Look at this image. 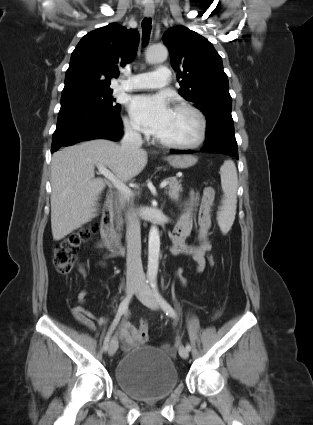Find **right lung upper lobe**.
<instances>
[{
    "label": "right lung upper lobe",
    "mask_w": 313,
    "mask_h": 425,
    "mask_svg": "<svg viewBox=\"0 0 313 425\" xmlns=\"http://www.w3.org/2000/svg\"><path fill=\"white\" fill-rule=\"evenodd\" d=\"M139 33L117 23L86 34L72 52L62 91L109 88L110 79L119 74L118 66L134 60Z\"/></svg>",
    "instance_id": "obj_1"
}]
</instances>
